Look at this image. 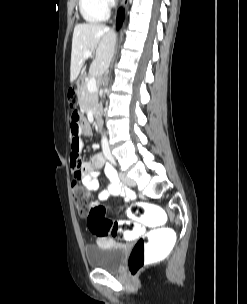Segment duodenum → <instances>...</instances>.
I'll use <instances>...</instances> for the list:
<instances>
[{
    "instance_id": "obj_1",
    "label": "duodenum",
    "mask_w": 247,
    "mask_h": 304,
    "mask_svg": "<svg viewBox=\"0 0 247 304\" xmlns=\"http://www.w3.org/2000/svg\"><path fill=\"white\" fill-rule=\"evenodd\" d=\"M84 78H79V80L77 81V86H78V90H80V89H82V86H83V83H84ZM102 117L100 116V115H98V116H95V123H96V125H97V129L99 130V129H101V126H100V119H101Z\"/></svg>"
}]
</instances>
